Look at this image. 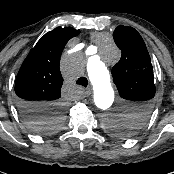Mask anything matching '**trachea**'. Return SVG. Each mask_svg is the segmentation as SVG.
Segmentation results:
<instances>
[{
    "label": "trachea",
    "mask_w": 174,
    "mask_h": 174,
    "mask_svg": "<svg viewBox=\"0 0 174 174\" xmlns=\"http://www.w3.org/2000/svg\"><path fill=\"white\" fill-rule=\"evenodd\" d=\"M76 84L87 87L88 85V80L86 77H80L77 81Z\"/></svg>",
    "instance_id": "3493384b"
}]
</instances>
